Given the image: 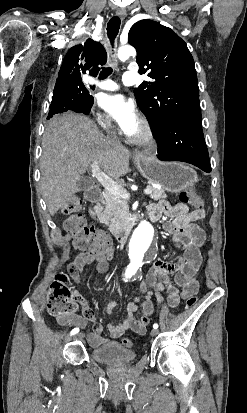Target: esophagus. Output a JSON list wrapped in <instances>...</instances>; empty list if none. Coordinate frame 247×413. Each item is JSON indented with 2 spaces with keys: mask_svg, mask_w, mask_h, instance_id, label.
<instances>
[{
  "mask_svg": "<svg viewBox=\"0 0 247 413\" xmlns=\"http://www.w3.org/2000/svg\"><path fill=\"white\" fill-rule=\"evenodd\" d=\"M116 15H117V17H120V18L124 19L125 16H126V12H116ZM133 155H134V156H139V155H141L140 150H138L137 148H134V149H133Z\"/></svg>",
  "mask_w": 247,
  "mask_h": 413,
  "instance_id": "1",
  "label": "esophagus"
}]
</instances>
